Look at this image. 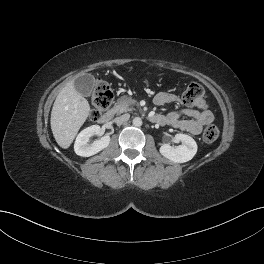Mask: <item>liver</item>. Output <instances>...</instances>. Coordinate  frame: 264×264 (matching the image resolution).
<instances>
[{
    "label": "liver",
    "instance_id": "1",
    "mask_svg": "<svg viewBox=\"0 0 264 264\" xmlns=\"http://www.w3.org/2000/svg\"><path fill=\"white\" fill-rule=\"evenodd\" d=\"M90 113L88 101L69 81L57 95L51 111V129L58 145L69 148Z\"/></svg>",
    "mask_w": 264,
    "mask_h": 264
}]
</instances>
